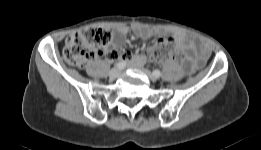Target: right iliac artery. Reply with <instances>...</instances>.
Returning <instances> with one entry per match:
<instances>
[{
    "instance_id": "1",
    "label": "right iliac artery",
    "mask_w": 261,
    "mask_h": 150,
    "mask_svg": "<svg viewBox=\"0 0 261 150\" xmlns=\"http://www.w3.org/2000/svg\"><path fill=\"white\" fill-rule=\"evenodd\" d=\"M126 66V62L125 61H120L119 63H117V67L122 69Z\"/></svg>"
}]
</instances>
